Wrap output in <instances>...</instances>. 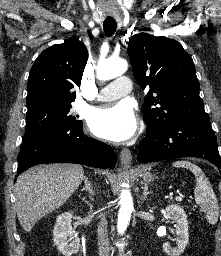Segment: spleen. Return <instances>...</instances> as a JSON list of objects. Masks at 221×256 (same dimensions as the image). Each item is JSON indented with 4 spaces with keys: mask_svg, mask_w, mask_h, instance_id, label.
Returning a JSON list of instances; mask_svg holds the SVG:
<instances>
[{
    "mask_svg": "<svg viewBox=\"0 0 221 256\" xmlns=\"http://www.w3.org/2000/svg\"><path fill=\"white\" fill-rule=\"evenodd\" d=\"M173 167L186 168L192 171L196 178V186L194 189V197L196 203L201 207L205 213L206 220L210 224H216L219 216V206L217 197L206 178L205 174L197 165L181 160L175 161Z\"/></svg>",
    "mask_w": 221,
    "mask_h": 256,
    "instance_id": "spleen-1",
    "label": "spleen"
}]
</instances>
